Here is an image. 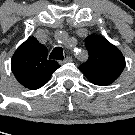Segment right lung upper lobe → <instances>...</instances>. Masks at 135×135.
Here are the masks:
<instances>
[{"label": "right lung upper lobe", "mask_w": 135, "mask_h": 135, "mask_svg": "<svg viewBox=\"0 0 135 135\" xmlns=\"http://www.w3.org/2000/svg\"><path fill=\"white\" fill-rule=\"evenodd\" d=\"M47 55V48L32 36L15 51L11 59L12 72L25 88H41L60 67L56 61L48 60Z\"/></svg>", "instance_id": "cb5924a9"}]
</instances>
